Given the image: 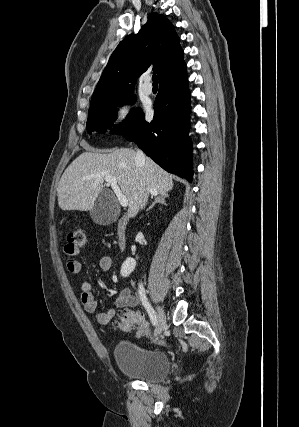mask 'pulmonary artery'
Returning <instances> with one entry per match:
<instances>
[{
	"mask_svg": "<svg viewBox=\"0 0 299 427\" xmlns=\"http://www.w3.org/2000/svg\"><path fill=\"white\" fill-rule=\"evenodd\" d=\"M142 89L146 94H151L153 92V87H152V84L150 83V76L147 75L144 77Z\"/></svg>",
	"mask_w": 299,
	"mask_h": 427,
	"instance_id": "e3ab8cb5",
	"label": "pulmonary artery"
}]
</instances>
